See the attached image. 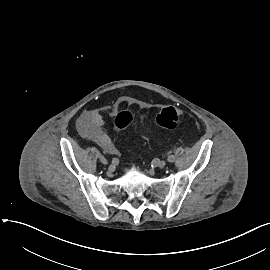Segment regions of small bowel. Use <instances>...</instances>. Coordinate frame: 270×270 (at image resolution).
<instances>
[{"label":"small bowel","instance_id":"c3829d8e","mask_svg":"<svg viewBox=\"0 0 270 270\" xmlns=\"http://www.w3.org/2000/svg\"><path fill=\"white\" fill-rule=\"evenodd\" d=\"M128 104L127 99L120 98L113 106H102L85 111L78 122L82 137L95 142L106 152H114L115 147L111 138L106 133L101 113L105 111L110 117H113L118 107ZM146 110L145 105L141 106L140 116L143 123H145L146 120Z\"/></svg>","mask_w":270,"mask_h":270}]
</instances>
